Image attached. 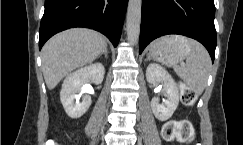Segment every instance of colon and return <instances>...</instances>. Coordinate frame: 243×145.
I'll list each match as a JSON object with an SVG mask.
<instances>
[{
	"mask_svg": "<svg viewBox=\"0 0 243 145\" xmlns=\"http://www.w3.org/2000/svg\"><path fill=\"white\" fill-rule=\"evenodd\" d=\"M180 99L183 105L191 106L195 103L196 93L191 87L182 85ZM162 137L167 141L177 139L190 142L194 137V129L187 121H171L163 126Z\"/></svg>",
	"mask_w": 243,
	"mask_h": 145,
	"instance_id": "5ec220e1",
	"label": "colon"
}]
</instances>
